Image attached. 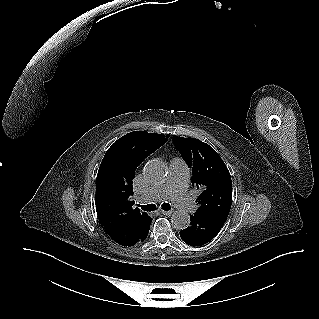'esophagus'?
Segmentation results:
<instances>
[{"instance_id":"obj_1","label":"esophagus","mask_w":319,"mask_h":319,"mask_svg":"<svg viewBox=\"0 0 319 319\" xmlns=\"http://www.w3.org/2000/svg\"><path fill=\"white\" fill-rule=\"evenodd\" d=\"M160 213L163 214V215L170 216V215L172 214V211H164V210H161Z\"/></svg>"}]
</instances>
